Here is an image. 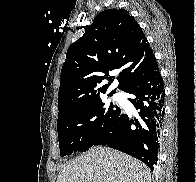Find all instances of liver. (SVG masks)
I'll return each instance as SVG.
<instances>
[{"mask_svg":"<svg viewBox=\"0 0 196 182\" xmlns=\"http://www.w3.org/2000/svg\"><path fill=\"white\" fill-rule=\"evenodd\" d=\"M56 182H151V175L142 162L99 146L64 166Z\"/></svg>","mask_w":196,"mask_h":182,"instance_id":"obj_1","label":"liver"}]
</instances>
